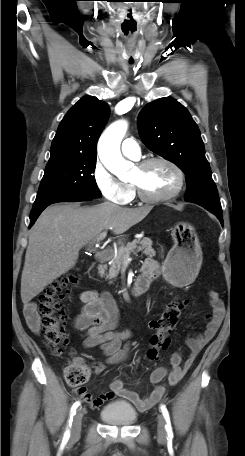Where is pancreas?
Listing matches in <instances>:
<instances>
[{"mask_svg": "<svg viewBox=\"0 0 245 456\" xmlns=\"http://www.w3.org/2000/svg\"><path fill=\"white\" fill-rule=\"evenodd\" d=\"M139 251H142L143 254L151 257L156 255L155 250L152 248V240L147 237L135 239L132 242L127 243L126 246L119 247L116 254L114 251L109 252L107 258L111 260V265L108 274H106V278H116L121 269L123 260L129 257L131 253L137 254ZM105 268L106 267H104V269Z\"/></svg>", "mask_w": 245, "mask_h": 456, "instance_id": "cf45deb5", "label": "pancreas"}]
</instances>
